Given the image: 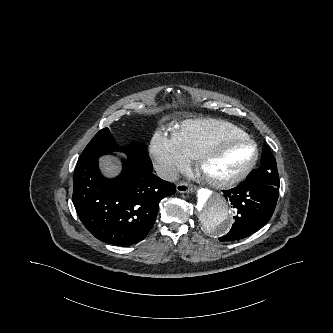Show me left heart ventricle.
I'll list each match as a JSON object with an SVG mask.
<instances>
[{"instance_id":"1","label":"left heart ventricle","mask_w":333,"mask_h":333,"mask_svg":"<svg viewBox=\"0 0 333 333\" xmlns=\"http://www.w3.org/2000/svg\"><path fill=\"white\" fill-rule=\"evenodd\" d=\"M251 153L249 146L243 142H224L211 153L203 170L207 175L215 178L229 176L248 161Z\"/></svg>"}]
</instances>
